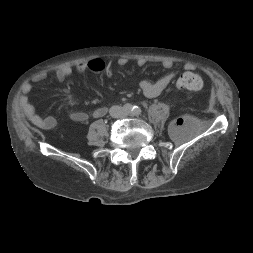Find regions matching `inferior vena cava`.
I'll use <instances>...</instances> for the list:
<instances>
[{
  "instance_id": "inferior-vena-cava-1",
  "label": "inferior vena cava",
  "mask_w": 253,
  "mask_h": 253,
  "mask_svg": "<svg viewBox=\"0 0 253 253\" xmlns=\"http://www.w3.org/2000/svg\"><path fill=\"white\" fill-rule=\"evenodd\" d=\"M117 112H123V108L121 107V106H112L111 108H110V114L112 115V116H115V114L117 113Z\"/></svg>"
}]
</instances>
